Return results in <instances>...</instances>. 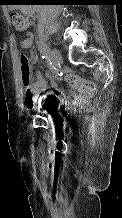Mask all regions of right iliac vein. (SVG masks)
<instances>
[{
    "mask_svg": "<svg viewBox=\"0 0 122 218\" xmlns=\"http://www.w3.org/2000/svg\"><path fill=\"white\" fill-rule=\"evenodd\" d=\"M50 58L55 65H60V63H62V56H61L60 52L56 49H53L51 51Z\"/></svg>",
    "mask_w": 122,
    "mask_h": 218,
    "instance_id": "63e3f726",
    "label": "right iliac vein"
}]
</instances>
